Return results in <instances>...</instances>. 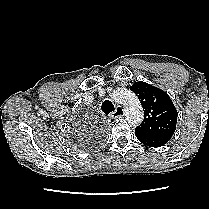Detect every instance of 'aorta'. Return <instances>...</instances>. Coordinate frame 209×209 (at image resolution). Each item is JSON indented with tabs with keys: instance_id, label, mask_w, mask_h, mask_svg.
Wrapping results in <instances>:
<instances>
[{
	"instance_id": "1",
	"label": "aorta",
	"mask_w": 209,
	"mask_h": 209,
	"mask_svg": "<svg viewBox=\"0 0 209 209\" xmlns=\"http://www.w3.org/2000/svg\"><path fill=\"white\" fill-rule=\"evenodd\" d=\"M112 99L124 106L126 120L132 126L139 125L143 120V108L137 96L126 88H119L112 92Z\"/></svg>"
}]
</instances>
